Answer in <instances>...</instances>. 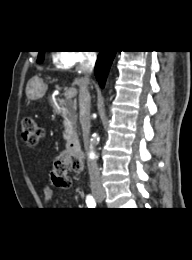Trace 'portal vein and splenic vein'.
<instances>
[{
  "mask_svg": "<svg viewBox=\"0 0 192 260\" xmlns=\"http://www.w3.org/2000/svg\"><path fill=\"white\" fill-rule=\"evenodd\" d=\"M76 93H77V91L75 88H69L65 92V97H66V99H72L76 95Z\"/></svg>",
  "mask_w": 192,
  "mask_h": 260,
  "instance_id": "1",
  "label": "portal vein and splenic vein"
}]
</instances>
